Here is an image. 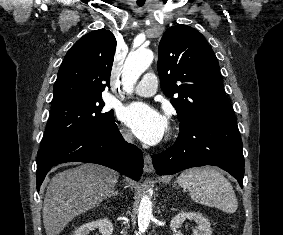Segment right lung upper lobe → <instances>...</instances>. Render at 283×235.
<instances>
[{
  "label": "right lung upper lobe",
  "instance_id": "right-lung-upper-lobe-1",
  "mask_svg": "<svg viewBox=\"0 0 283 235\" xmlns=\"http://www.w3.org/2000/svg\"><path fill=\"white\" fill-rule=\"evenodd\" d=\"M115 49L116 39L109 30L92 31L79 39L59 68L52 103L71 97L102 96L110 86Z\"/></svg>",
  "mask_w": 283,
  "mask_h": 235
}]
</instances>
